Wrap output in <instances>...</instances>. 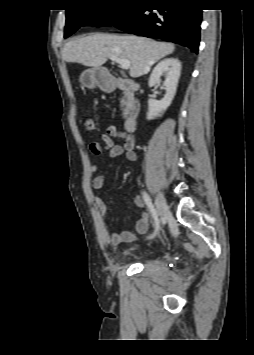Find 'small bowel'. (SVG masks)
<instances>
[{"label": "small bowel", "mask_w": 254, "mask_h": 355, "mask_svg": "<svg viewBox=\"0 0 254 355\" xmlns=\"http://www.w3.org/2000/svg\"><path fill=\"white\" fill-rule=\"evenodd\" d=\"M115 139L123 140V143L115 142ZM102 144L93 141L89 145L90 151L94 155H103L105 154L109 158H116L121 155H124L129 161H136L137 155L134 151L135 139L133 135L123 132L119 130L116 126L111 125L107 128L105 133L101 136ZM99 165L94 164L91 167V171L93 173L98 172ZM105 182V178L103 175H97L93 179V188L96 190H100L103 188ZM94 204L100 213L101 216L106 217L108 210L107 206L102 200L101 197L95 195L93 197ZM134 203L138 208H143L145 206V201L141 196L137 195L134 198ZM149 228V216L146 212H141L140 218L136 222L135 232L131 231H121V232H113L109 236V240L112 244L117 245L121 243H128L135 240L137 234H144L148 231Z\"/></svg>", "instance_id": "c3829d8e"}]
</instances>
